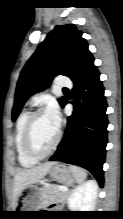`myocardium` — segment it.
<instances>
[{
  "label": "myocardium",
  "mask_w": 123,
  "mask_h": 219,
  "mask_svg": "<svg viewBox=\"0 0 123 219\" xmlns=\"http://www.w3.org/2000/svg\"><path fill=\"white\" fill-rule=\"evenodd\" d=\"M45 112L46 111L43 109H38V110L31 112L27 119L25 130H24V137H23L24 149L29 157L36 159V160H41L49 156L57 148L58 144L60 143L61 137H62L61 128L60 126H58L56 138L53 141L52 145L46 151L39 152L34 148L33 142H32L33 124H34L35 119L39 115Z\"/></svg>",
  "instance_id": "obj_1"
}]
</instances>
